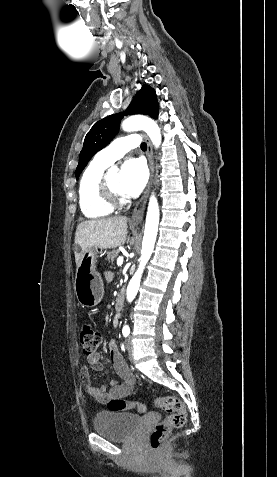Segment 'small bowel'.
I'll list each match as a JSON object with an SVG mask.
<instances>
[{
    "label": "small bowel",
    "instance_id": "c3829d8e",
    "mask_svg": "<svg viewBox=\"0 0 277 477\" xmlns=\"http://www.w3.org/2000/svg\"><path fill=\"white\" fill-rule=\"evenodd\" d=\"M117 323L118 319L116 318L114 324L116 325ZM109 352L111 363L119 377V379L110 381L109 390H107L106 386L103 384L99 387H94L91 384L90 370L99 372L103 369L99 352L89 355L87 357V365L82 367L80 371V377L86 392L92 399L102 404H108L110 400L115 398L124 399L132 393L136 385V378L119 352L115 340L110 341Z\"/></svg>",
    "mask_w": 277,
    "mask_h": 477
}]
</instances>
